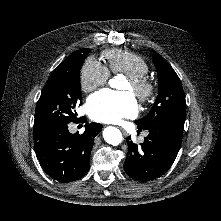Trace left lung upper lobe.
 <instances>
[{
    "label": "left lung upper lobe",
    "mask_w": 221,
    "mask_h": 221,
    "mask_svg": "<svg viewBox=\"0 0 221 221\" xmlns=\"http://www.w3.org/2000/svg\"><path fill=\"white\" fill-rule=\"evenodd\" d=\"M153 61L158 74V96L150 112L135 121L140 129H148L165 120L186 118L185 94L179 77L160 54L154 53Z\"/></svg>",
    "instance_id": "obj_1"
}]
</instances>
